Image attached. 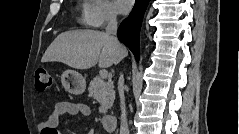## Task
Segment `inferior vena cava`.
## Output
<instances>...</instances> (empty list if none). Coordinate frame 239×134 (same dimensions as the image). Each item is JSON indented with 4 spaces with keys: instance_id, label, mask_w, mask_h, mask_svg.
<instances>
[{
    "instance_id": "602c4592",
    "label": "inferior vena cava",
    "mask_w": 239,
    "mask_h": 134,
    "mask_svg": "<svg viewBox=\"0 0 239 134\" xmlns=\"http://www.w3.org/2000/svg\"><path fill=\"white\" fill-rule=\"evenodd\" d=\"M117 16L114 12H111L108 17V24L106 27V34L110 39L115 43L119 44L117 37ZM118 91L120 97V107H121V125H120V134H129L127 115H126V106H125V96H124V77L123 74L120 75L118 81Z\"/></svg>"
}]
</instances>
